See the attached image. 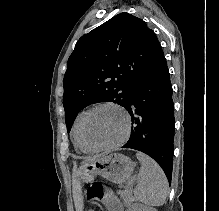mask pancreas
<instances>
[{"mask_svg": "<svg viewBox=\"0 0 219 211\" xmlns=\"http://www.w3.org/2000/svg\"><path fill=\"white\" fill-rule=\"evenodd\" d=\"M120 193L121 197L124 199V203H126V205H131L132 201H134L131 191H129V189H124V191H120Z\"/></svg>", "mask_w": 219, "mask_h": 211, "instance_id": "1", "label": "pancreas"}]
</instances>
